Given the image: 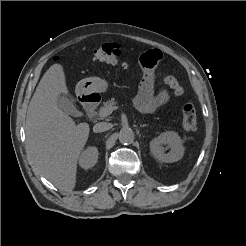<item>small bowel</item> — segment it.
<instances>
[{"label":"small bowel","instance_id":"small-bowel-1","mask_svg":"<svg viewBox=\"0 0 246 246\" xmlns=\"http://www.w3.org/2000/svg\"><path fill=\"white\" fill-rule=\"evenodd\" d=\"M159 50H150L141 57L144 68V78L135 98V106L141 113H151L166 105L170 100V93L166 88L155 93V67L161 61Z\"/></svg>","mask_w":246,"mask_h":246}]
</instances>
